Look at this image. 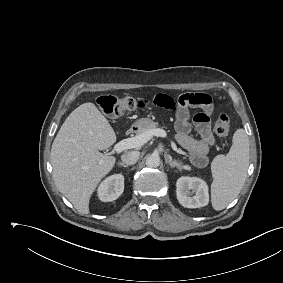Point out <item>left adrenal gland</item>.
<instances>
[{"mask_svg":"<svg viewBox=\"0 0 283 283\" xmlns=\"http://www.w3.org/2000/svg\"><path fill=\"white\" fill-rule=\"evenodd\" d=\"M166 163H168L171 168L176 167L179 171H181L183 168L180 163H178L176 160H172L170 156L166 157Z\"/></svg>","mask_w":283,"mask_h":283,"instance_id":"left-adrenal-gland-1","label":"left adrenal gland"}]
</instances>
